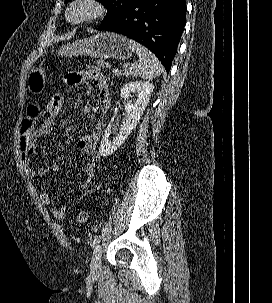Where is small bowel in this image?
Segmentation results:
<instances>
[{
  "label": "small bowel",
  "instance_id": "c3829d8e",
  "mask_svg": "<svg viewBox=\"0 0 272 303\" xmlns=\"http://www.w3.org/2000/svg\"><path fill=\"white\" fill-rule=\"evenodd\" d=\"M65 81L70 86L80 85L85 81H90L99 89L98 103L100 110L105 113L110 105V90L106 77L98 70H79L69 73ZM40 107L36 103L28 105L26 114L21 124L20 129V154L25 171L32 182L35 189H39L41 180L48 174L49 170L58 173L60 167L57 163L52 162L49 167L41 166L34 169L31 166L35 155V145L43 137L51 134V132L44 131L38 125L40 116ZM103 122L97 121L92 130L80 137L77 142V148L80 152L89 157V161L83 165L84 179L80 187L83 190L90 189L94 183L96 176V164L100 160V155L97 151V143L103 132ZM40 200L43 204L49 205L51 203V196L47 192L40 194ZM52 214L57 219H62L66 214V206L61 205L52 210Z\"/></svg>",
  "mask_w": 272,
  "mask_h": 303
}]
</instances>
